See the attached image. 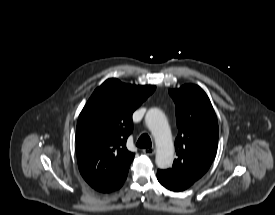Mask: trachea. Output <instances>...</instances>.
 I'll use <instances>...</instances> for the list:
<instances>
[{
	"mask_svg": "<svg viewBox=\"0 0 275 215\" xmlns=\"http://www.w3.org/2000/svg\"><path fill=\"white\" fill-rule=\"evenodd\" d=\"M136 145L140 148H151L152 143L148 134H142L138 139Z\"/></svg>",
	"mask_w": 275,
	"mask_h": 215,
	"instance_id": "trachea-1",
	"label": "trachea"
}]
</instances>
